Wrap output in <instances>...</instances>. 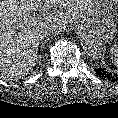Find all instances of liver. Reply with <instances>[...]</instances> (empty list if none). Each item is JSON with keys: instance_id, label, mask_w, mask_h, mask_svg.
Segmentation results:
<instances>
[{"instance_id": "obj_1", "label": "liver", "mask_w": 118, "mask_h": 118, "mask_svg": "<svg viewBox=\"0 0 118 118\" xmlns=\"http://www.w3.org/2000/svg\"><path fill=\"white\" fill-rule=\"evenodd\" d=\"M92 6V0H0V75L29 74L36 65L39 43L47 35L45 24L64 27L74 19L93 16Z\"/></svg>"}]
</instances>
